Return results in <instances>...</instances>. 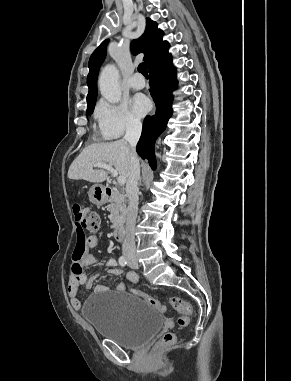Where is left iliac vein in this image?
Instances as JSON below:
<instances>
[{"label":"left iliac vein","instance_id":"4c4485c4","mask_svg":"<svg viewBox=\"0 0 291 381\" xmlns=\"http://www.w3.org/2000/svg\"><path fill=\"white\" fill-rule=\"evenodd\" d=\"M128 264H129V266L132 268V269H137L138 268V262H137V260L135 259V260H128Z\"/></svg>","mask_w":291,"mask_h":381}]
</instances>
